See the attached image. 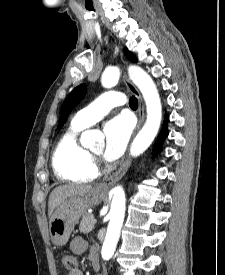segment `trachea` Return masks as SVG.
Here are the masks:
<instances>
[{"label": "trachea", "mask_w": 225, "mask_h": 275, "mask_svg": "<svg viewBox=\"0 0 225 275\" xmlns=\"http://www.w3.org/2000/svg\"><path fill=\"white\" fill-rule=\"evenodd\" d=\"M129 105L131 108H137L138 107V101L135 97H131L129 100Z\"/></svg>", "instance_id": "trachea-1"}]
</instances>
